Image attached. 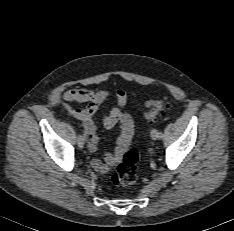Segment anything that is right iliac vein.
I'll use <instances>...</instances> for the list:
<instances>
[{
  "instance_id": "right-iliac-vein-1",
  "label": "right iliac vein",
  "mask_w": 234,
  "mask_h": 231,
  "mask_svg": "<svg viewBox=\"0 0 234 231\" xmlns=\"http://www.w3.org/2000/svg\"><path fill=\"white\" fill-rule=\"evenodd\" d=\"M77 143H78L79 148H83L85 141H84V139H81L78 137Z\"/></svg>"
}]
</instances>
